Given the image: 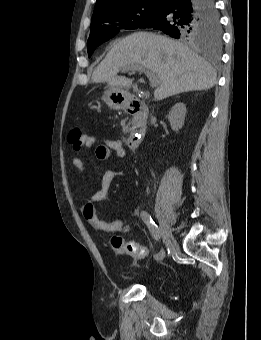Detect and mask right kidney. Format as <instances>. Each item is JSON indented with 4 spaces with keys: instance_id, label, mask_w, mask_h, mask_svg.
<instances>
[{
    "instance_id": "1",
    "label": "right kidney",
    "mask_w": 261,
    "mask_h": 340,
    "mask_svg": "<svg viewBox=\"0 0 261 340\" xmlns=\"http://www.w3.org/2000/svg\"><path fill=\"white\" fill-rule=\"evenodd\" d=\"M186 106L184 103H176L170 110L168 120L173 131H179L184 125Z\"/></svg>"
}]
</instances>
